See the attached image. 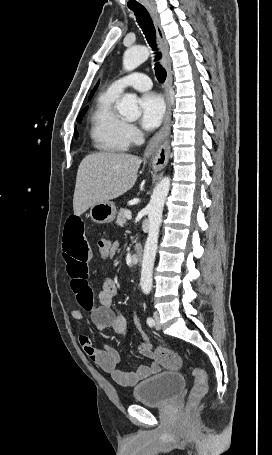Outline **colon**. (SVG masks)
<instances>
[{
    "instance_id": "obj_1",
    "label": "colon",
    "mask_w": 272,
    "mask_h": 455,
    "mask_svg": "<svg viewBox=\"0 0 272 455\" xmlns=\"http://www.w3.org/2000/svg\"><path fill=\"white\" fill-rule=\"evenodd\" d=\"M97 246L101 259L106 260L110 256V240L102 237L98 240ZM155 358L163 367L170 370H178L182 365L180 356L165 347H158L155 350ZM190 372L195 382L189 398V407L192 408L206 395L208 378L206 372L199 367H191Z\"/></svg>"
}]
</instances>
